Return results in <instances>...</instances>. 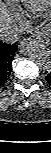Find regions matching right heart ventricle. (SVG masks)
<instances>
[{"instance_id": "right-heart-ventricle-1", "label": "right heart ventricle", "mask_w": 51, "mask_h": 153, "mask_svg": "<svg viewBox=\"0 0 51 153\" xmlns=\"http://www.w3.org/2000/svg\"><path fill=\"white\" fill-rule=\"evenodd\" d=\"M22 4L26 11L42 14L50 7L51 0H22Z\"/></svg>"}]
</instances>
